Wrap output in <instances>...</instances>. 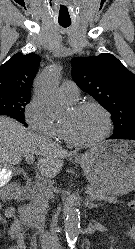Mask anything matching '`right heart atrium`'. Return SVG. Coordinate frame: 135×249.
Masks as SVG:
<instances>
[{"label": "right heart atrium", "mask_w": 135, "mask_h": 249, "mask_svg": "<svg viewBox=\"0 0 135 249\" xmlns=\"http://www.w3.org/2000/svg\"><path fill=\"white\" fill-rule=\"evenodd\" d=\"M24 117L26 123L34 132L48 138L58 137L57 124L48 116L37 96L32 97L27 104Z\"/></svg>", "instance_id": "1"}]
</instances>
